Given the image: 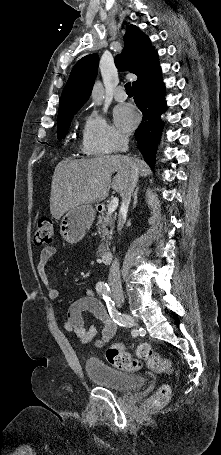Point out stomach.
<instances>
[{"mask_svg":"<svg viewBox=\"0 0 221 455\" xmlns=\"http://www.w3.org/2000/svg\"><path fill=\"white\" fill-rule=\"evenodd\" d=\"M95 218V209L90 204L71 208L60 222V234L70 243L76 244L83 239Z\"/></svg>","mask_w":221,"mask_h":455,"instance_id":"1","label":"stomach"}]
</instances>
